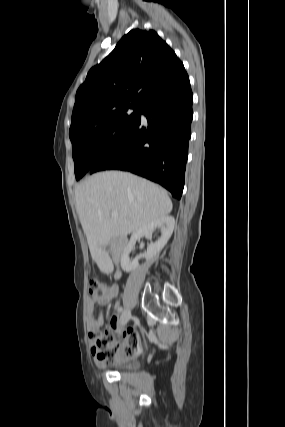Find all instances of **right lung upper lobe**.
Wrapping results in <instances>:
<instances>
[{"mask_svg": "<svg viewBox=\"0 0 285 427\" xmlns=\"http://www.w3.org/2000/svg\"><path fill=\"white\" fill-rule=\"evenodd\" d=\"M183 69L154 30H131L90 69L77 90L69 134L126 106L140 105L153 88Z\"/></svg>", "mask_w": 285, "mask_h": 427, "instance_id": "right-lung-upper-lobe-1", "label": "right lung upper lobe"}]
</instances>
